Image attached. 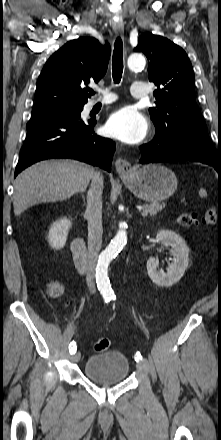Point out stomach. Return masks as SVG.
Returning <instances> with one entry per match:
<instances>
[{"label":"stomach","mask_w":221,"mask_h":440,"mask_svg":"<svg viewBox=\"0 0 221 440\" xmlns=\"http://www.w3.org/2000/svg\"><path fill=\"white\" fill-rule=\"evenodd\" d=\"M121 179L136 197L148 202L169 198L178 186L174 172L161 164L133 167Z\"/></svg>","instance_id":"obj_1"}]
</instances>
